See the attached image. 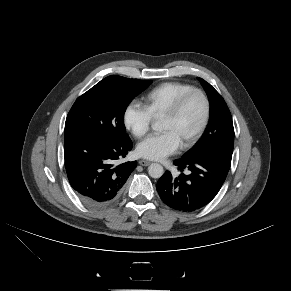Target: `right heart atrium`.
<instances>
[{
  "label": "right heart atrium",
  "instance_id": "1",
  "mask_svg": "<svg viewBox=\"0 0 291 291\" xmlns=\"http://www.w3.org/2000/svg\"><path fill=\"white\" fill-rule=\"evenodd\" d=\"M152 117L145 107L138 102L129 103L123 112L124 126L136 138H141L149 131Z\"/></svg>",
  "mask_w": 291,
  "mask_h": 291
}]
</instances>
